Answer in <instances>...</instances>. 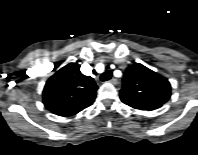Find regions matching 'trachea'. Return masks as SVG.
<instances>
[{"instance_id":"3493384b","label":"trachea","mask_w":198,"mask_h":155,"mask_svg":"<svg viewBox=\"0 0 198 155\" xmlns=\"http://www.w3.org/2000/svg\"><path fill=\"white\" fill-rule=\"evenodd\" d=\"M111 77H112V72L111 71H105L104 73L101 74L100 80L101 81H107V80L111 79Z\"/></svg>"}]
</instances>
